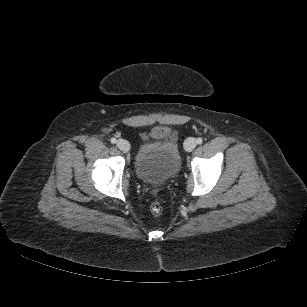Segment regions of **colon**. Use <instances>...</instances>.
<instances>
[{
	"label": "colon",
	"mask_w": 307,
	"mask_h": 307,
	"mask_svg": "<svg viewBox=\"0 0 307 307\" xmlns=\"http://www.w3.org/2000/svg\"><path fill=\"white\" fill-rule=\"evenodd\" d=\"M151 211L154 215H159L162 212V207L159 202L155 201L151 206Z\"/></svg>",
	"instance_id": "obj_1"
}]
</instances>
